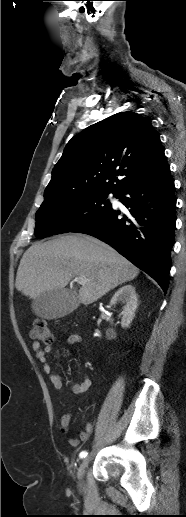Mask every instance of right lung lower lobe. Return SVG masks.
<instances>
[{
  "label": "right lung lower lobe",
  "instance_id": "98d812e1",
  "mask_svg": "<svg viewBox=\"0 0 186 517\" xmlns=\"http://www.w3.org/2000/svg\"><path fill=\"white\" fill-rule=\"evenodd\" d=\"M129 215L109 211L73 230L94 236L150 275L166 293L176 225L174 180L169 165L118 193Z\"/></svg>",
  "mask_w": 186,
  "mask_h": 517
}]
</instances>
